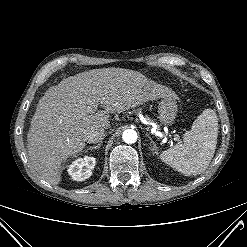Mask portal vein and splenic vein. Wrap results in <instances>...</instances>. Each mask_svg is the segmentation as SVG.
Segmentation results:
<instances>
[{
    "mask_svg": "<svg viewBox=\"0 0 247 247\" xmlns=\"http://www.w3.org/2000/svg\"><path fill=\"white\" fill-rule=\"evenodd\" d=\"M96 110V108L94 110H91V112H94ZM176 141H179V138L178 137H175L174 138Z\"/></svg>",
    "mask_w": 247,
    "mask_h": 247,
    "instance_id": "obj_1",
    "label": "portal vein and splenic vein"
}]
</instances>
